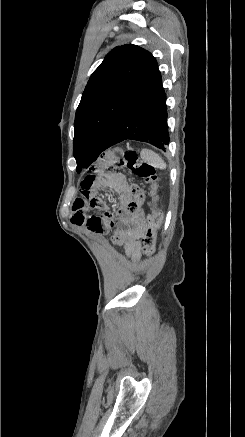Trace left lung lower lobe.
<instances>
[{"mask_svg":"<svg viewBox=\"0 0 245 437\" xmlns=\"http://www.w3.org/2000/svg\"><path fill=\"white\" fill-rule=\"evenodd\" d=\"M126 139L147 142L163 151L169 144L166 94L157 62L121 111L102 151Z\"/></svg>","mask_w":245,"mask_h":437,"instance_id":"obj_1","label":"left lung lower lobe"}]
</instances>
